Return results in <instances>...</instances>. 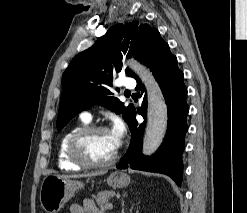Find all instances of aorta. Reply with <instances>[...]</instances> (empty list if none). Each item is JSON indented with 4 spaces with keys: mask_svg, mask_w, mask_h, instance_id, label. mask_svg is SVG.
<instances>
[{
    "mask_svg": "<svg viewBox=\"0 0 247 213\" xmlns=\"http://www.w3.org/2000/svg\"><path fill=\"white\" fill-rule=\"evenodd\" d=\"M130 68L140 77L147 89L148 119L142 151L151 155L162 143L168 121L167 105L152 73L137 61H130Z\"/></svg>",
    "mask_w": 247,
    "mask_h": 213,
    "instance_id": "1",
    "label": "aorta"
}]
</instances>
